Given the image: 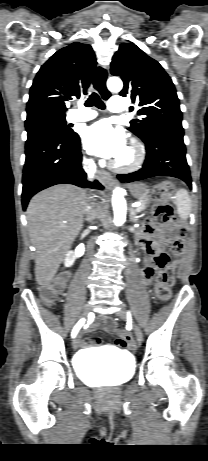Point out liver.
Returning a JSON list of instances; mask_svg holds the SVG:
<instances>
[{"label":"liver","instance_id":"liver-1","mask_svg":"<svg viewBox=\"0 0 208 461\" xmlns=\"http://www.w3.org/2000/svg\"><path fill=\"white\" fill-rule=\"evenodd\" d=\"M88 193L63 184L36 194L27 207L31 242L36 248L35 277L47 285L55 276L88 214Z\"/></svg>","mask_w":208,"mask_h":461}]
</instances>
